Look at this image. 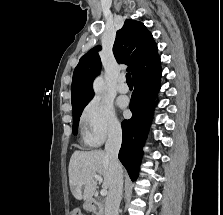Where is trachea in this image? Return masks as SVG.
<instances>
[{
	"label": "trachea",
	"instance_id": "trachea-1",
	"mask_svg": "<svg viewBox=\"0 0 223 215\" xmlns=\"http://www.w3.org/2000/svg\"><path fill=\"white\" fill-rule=\"evenodd\" d=\"M126 82H127V83H133V82H132V79H131V74H130V73H127V74H126Z\"/></svg>",
	"mask_w": 223,
	"mask_h": 215
}]
</instances>
